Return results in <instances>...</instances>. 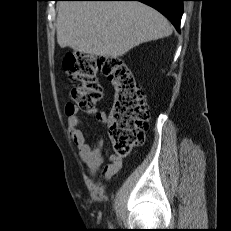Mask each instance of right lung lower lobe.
<instances>
[{
  "instance_id": "obj_1",
  "label": "right lung lower lobe",
  "mask_w": 231,
  "mask_h": 231,
  "mask_svg": "<svg viewBox=\"0 0 231 231\" xmlns=\"http://www.w3.org/2000/svg\"><path fill=\"white\" fill-rule=\"evenodd\" d=\"M85 1H140L145 3L167 17L177 31H180V21L183 13L184 0H85Z\"/></svg>"
}]
</instances>
